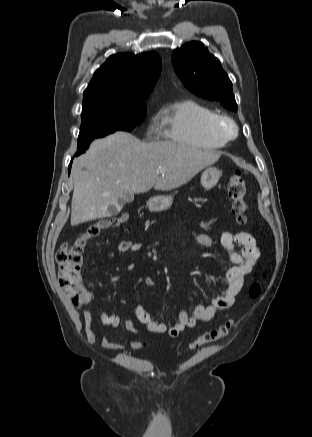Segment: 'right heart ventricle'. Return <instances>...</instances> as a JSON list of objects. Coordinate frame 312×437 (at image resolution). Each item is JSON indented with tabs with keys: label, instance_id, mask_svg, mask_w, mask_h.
Masks as SVG:
<instances>
[{
	"label": "right heart ventricle",
	"instance_id": "right-heart-ventricle-1",
	"mask_svg": "<svg viewBox=\"0 0 312 437\" xmlns=\"http://www.w3.org/2000/svg\"><path fill=\"white\" fill-rule=\"evenodd\" d=\"M216 112L192 99L176 102L160 116L162 139L179 145L219 149L226 141L214 135L209 122Z\"/></svg>",
	"mask_w": 312,
	"mask_h": 437
}]
</instances>
